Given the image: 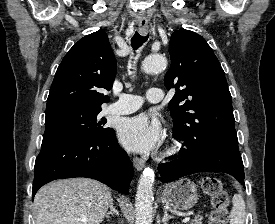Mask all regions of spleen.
<instances>
[{"label": "spleen", "instance_id": "1", "mask_svg": "<svg viewBox=\"0 0 275 224\" xmlns=\"http://www.w3.org/2000/svg\"><path fill=\"white\" fill-rule=\"evenodd\" d=\"M233 207L230 213V224H244L245 202L241 194H235L232 199Z\"/></svg>", "mask_w": 275, "mask_h": 224}]
</instances>
